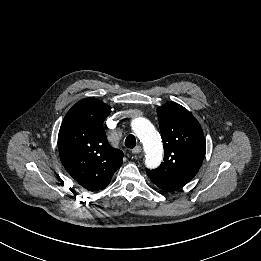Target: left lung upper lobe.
I'll return each instance as SVG.
<instances>
[{"label":"left lung upper lobe","mask_w":261,"mask_h":261,"mask_svg":"<svg viewBox=\"0 0 261 261\" xmlns=\"http://www.w3.org/2000/svg\"><path fill=\"white\" fill-rule=\"evenodd\" d=\"M164 146V162L147 169L151 181L164 191H174L197 174L206 153V142L198 121L175 102L157 109Z\"/></svg>","instance_id":"5c2ea615"}]
</instances>
